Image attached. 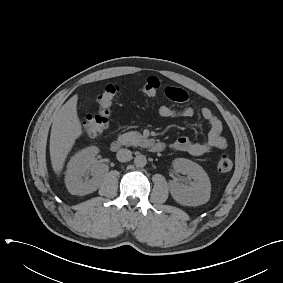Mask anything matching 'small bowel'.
<instances>
[{
	"label": "small bowel",
	"mask_w": 283,
	"mask_h": 283,
	"mask_svg": "<svg viewBox=\"0 0 283 283\" xmlns=\"http://www.w3.org/2000/svg\"><path fill=\"white\" fill-rule=\"evenodd\" d=\"M164 92L167 98L175 102H185L188 99L186 91L179 87L167 86ZM158 114L162 118H172L176 116L193 117L195 110L192 107L177 110L169 106H161L158 110ZM201 116L210 125L207 140L194 142L188 137L181 136L172 143L171 148L173 150L200 157L211 153L213 150H222L227 147V141L222 136V123L218 117L209 108H202Z\"/></svg>",
	"instance_id": "1"
}]
</instances>
